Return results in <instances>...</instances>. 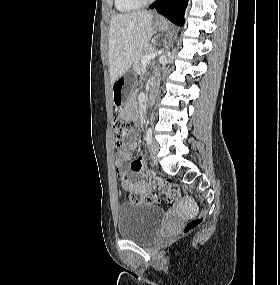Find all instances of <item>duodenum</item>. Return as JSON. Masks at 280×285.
<instances>
[{
  "label": "duodenum",
  "mask_w": 280,
  "mask_h": 285,
  "mask_svg": "<svg viewBox=\"0 0 280 285\" xmlns=\"http://www.w3.org/2000/svg\"><path fill=\"white\" fill-rule=\"evenodd\" d=\"M151 92L154 97L157 95L158 90H157V84L155 83V81L152 82Z\"/></svg>",
  "instance_id": "1"
}]
</instances>
